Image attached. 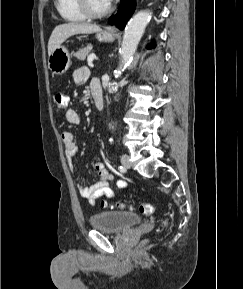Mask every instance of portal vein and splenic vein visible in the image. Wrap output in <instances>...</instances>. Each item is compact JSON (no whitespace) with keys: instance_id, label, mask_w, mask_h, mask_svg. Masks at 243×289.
I'll return each mask as SVG.
<instances>
[{"instance_id":"obj_1","label":"portal vein and splenic vein","mask_w":243,"mask_h":289,"mask_svg":"<svg viewBox=\"0 0 243 289\" xmlns=\"http://www.w3.org/2000/svg\"><path fill=\"white\" fill-rule=\"evenodd\" d=\"M97 59V57L95 55H89L88 58H87V62H88V65L89 66H93V61Z\"/></svg>"}]
</instances>
